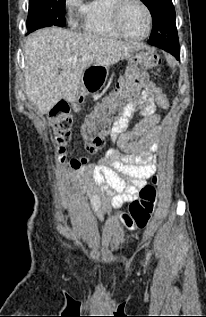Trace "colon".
Listing matches in <instances>:
<instances>
[{"label":"colon","instance_id":"5ec220e1","mask_svg":"<svg viewBox=\"0 0 206 317\" xmlns=\"http://www.w3.org/2000/svg\"><path fill=\"white\" fill-rule=\"evenodd\" d=\"M158 56L149 54L142 56L138 61L127 68L126 73L119 79L115 89L100 102L95 110L85 119L82 134L87 151L95 152L105 143L114 124L123 116L129 101L135 97L148 81L147 71L158 65ZM51 119L54 126L56 139L59 144H64L71 134L73 120L67 104H58L51 110ZM62 154L64 148L60 147ZM62 162H66L64 156ZM81 159H71L66 162L69 168L77 169L81 166ZM146 185L140 191V198L131 203L129 211L122 215L124 224L130 230L143 228L149 222L156 202L155 185Z\"/></svg>","mask_w":206,"mask_h":317}]
</instances>
